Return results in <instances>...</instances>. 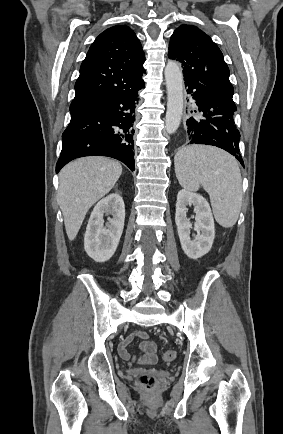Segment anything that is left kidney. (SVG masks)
<instances>
[{
  "label": "left kidney",
  "instance_id": "obj_1",
  "mask_svg": "<svg viewBox=\"0 0 283 434\" xmlns=\"http://www.w3.org/2000/svg\"><path fill=\"white\" fill-rule=\"evenodd\" d=\"M194 206L197 236L190 237L192 224L187 218V206ZM175 223L184 253L191 259H198L207 254L215 238V226L211 208L200 194L181 190L177 195Z\"/></svg>",
  "mask_w": 283,
  "mask_h": 434
}]
</instances>
